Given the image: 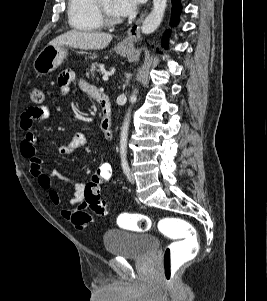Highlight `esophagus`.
<instances>
[{"instance_id": "obj_1", "label": "esophagus", "mask_w": 267, "mask_h": 301, "mask_svg": "<svg viewBox=\"0 0 267 301\" xmlns=\"http://www.w3.org/2000/svg\"><path fill=\"white\" fill-rule=\"evenodd\" d=\"M146 12H143L139 19L127 31L126 37L120 42V46H132L135 41L140 38V25L143 21Z\"/></svg>"}]
</instances>
